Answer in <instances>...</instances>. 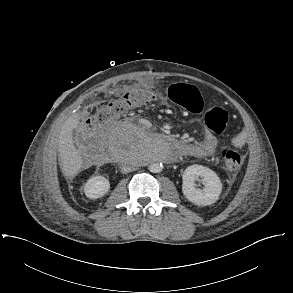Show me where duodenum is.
Returning a JSON list of instances; mask_svg holds the SVG:
<instances>
[{
    "instance_id": "1",
    "label": "duodenum",
    "mask_w": 293,
    "mask_h": 293,
    "mask_svg": "<svg viewBox=\"0 0 293 293\" xmlns=\"http://www.w3.org/2000/svg\"><path fill=\"white\" fill-rule=\"evenodd\" d=\"M162 138H165L166 140L169 141V143L172 145V148L174 149L175 153H180V154H185L188 151L189 148V144L179 140L173 136H167L164 134H161ZM113 158L117 157V154L114 152L112 154ZM176 160V157H172V158H168L167 161L168 162H174Z\"/></svg>"
}]
</instances>
